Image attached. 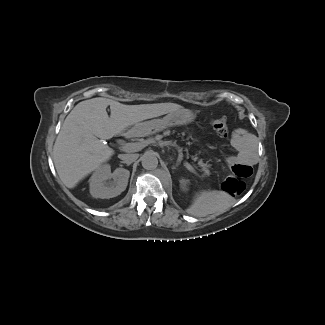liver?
<instances>
[{"label":"liver","mask_w":325,"mask_h":325,"mask_svg":"<svg viewBox=\"0 0 325 325\" xmlns=\"http://www.w3.org/2000/svg\"><path fill=\"white\" fill-rule=\"evenodd\" d=\"M110 105L111 115L106 108ZM190 110L176 103L124 105L117 101L97 97L78 103L66 117L53 148V161L59 178L68 188L108 161L114 154L100 139L126 134L134 124L174 111Z\"/></svg>","instance_id":"liver-1"}]
</instances>
